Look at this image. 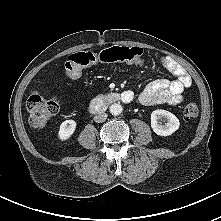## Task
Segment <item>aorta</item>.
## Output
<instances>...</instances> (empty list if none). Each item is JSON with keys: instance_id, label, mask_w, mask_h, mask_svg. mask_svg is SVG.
<instances>
[{"instance_id": "762f6f07", "label": "aorta", "mask_w": 221, "mask_h": 221, "mask_svg": "<svg viewBox=\"0 0 221 221\" xmlns=\"http://www.w3.org/2000/svg\"><path fill=\"white\" fill-rule=\"evenodd\" d=\"M109 111L112 115H119L123 111V107L120 104L114 103L109 107Z\"/></svg>"}]
</instances>
